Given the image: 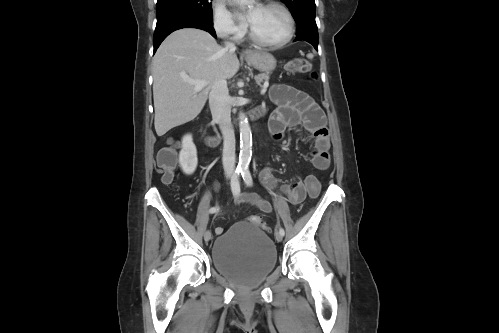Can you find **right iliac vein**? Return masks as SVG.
<instances>
[{"mask_svg": "<svg viewBox=\"0 0 499 333\" xmlns=\"http://www.w3.org/2000/svg\"><path fill=\"white\" fill-rule=\"evenodd\" d=\"M204 239L205 241H209L211 239V232L209 230L205 231Z\"/></svg>", "mask_w": 499, "mask_h": 333, "instance_id": "63e3f726", "label": "right iliac vein"}]
</instances>
